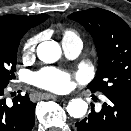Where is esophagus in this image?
<instances>
[{"mask_svg": "<svg viewBox=\"0 0 131 131\" xmlns=\"http://www.w3.org/2000/svg\"><path fill=\"white\" fill-rule=\"evenodd\" d=\"M42 98H43V99H55V98H57V96H56V95H53V94L44 93V94L42 95Z\"/></svg>", "mask_w": 131, "mask_h": 131, "instance_id": "esophagus-1", "label": "esophagus"}]
</instances>
